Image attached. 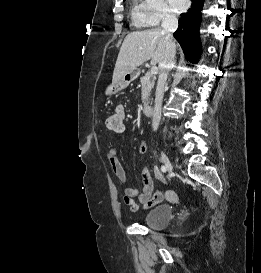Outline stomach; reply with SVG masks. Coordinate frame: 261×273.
I'll use <instances>...</instances> for the list:
<instances>
[{
  "label": "stomach",
  "mask_w": 261,
  "mask_h": 273,
  "mask_svg": "<svg viewBox=\"0 0 261 273\" xmlns=\"http://www.w3.org/2000/svg\"><path fill=\"white\" fill-rule=\"evenodd\" d=\"M138 74H139V69H135L132 72L125 74L116 84L109 85L105 90V94L107 96H110V95L115 94L118 91L124 89L134 79L137 78Z\"/></svg>",
  "instance_id": "obj_1"
}]
</instances>
